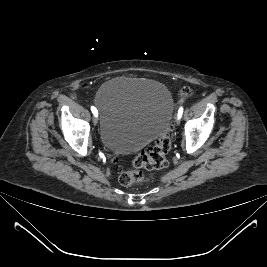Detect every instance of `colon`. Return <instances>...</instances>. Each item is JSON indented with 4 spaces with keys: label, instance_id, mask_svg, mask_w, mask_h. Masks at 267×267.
<instances>
[{
    "label": "colon",
    "instance_id": "1",
    "mask_svg": "<svg viewBox=\"0 0 267 267\" xmlns=\"http://www.w3.org/2000/svg\"><path fill=\"white\" fill-rule=\"evenodd\" d=\"M180 95L182 100L188 98L191 96V90L183 88ZM169 130L168 127L161 137L135 156L132 162L135 169L121 171L119 181L122 185L132 186L147 181V178L140 171L141 169L157 170L167 165V155L171 149Z\"/></svg>",
    "mask_w": 267,
    "mask_h": 267
}]
</instances>
